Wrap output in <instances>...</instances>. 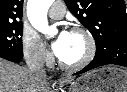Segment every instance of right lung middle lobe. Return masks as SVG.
Returning a JSON list of instances; mask_svg holds the SVG:
<instances>
[{
	"mask_svg": "<svg viewBox=\"0 0 127 92\" xmlns=\"http://www.w3.org/2000/svg\"><path fill=\"white\" fill-rule=\"evenodd\" d=\"M22 34V23L0 25V47L14 52H22Z\"/></svg>",
	"mask_w": 127,
	"mask_h": 92,
	"instance_id": "1",
	"label": "right lung middle lobe"
}]
</instances>
